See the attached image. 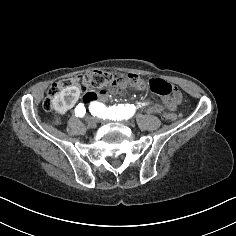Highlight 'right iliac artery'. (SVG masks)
Returning a JSON list of instances; mask_svg holds the SVG:
<instances>
[{
	"mask_svg": "<svg viewBox=\"0 0 236 236\" xmlns=\"http://www.w3.org/2000/svg\"><path fill=\"white\" fill-rule=\"evenodd\" d=\"M86 113V109L84 107V104L79 103L75 108V116L76 117H83Z\"/></svg>",
	"mask_w": 236,
	"mask_h": 236,
	"instance_id": "82829eb1",
	"label": "right iliac artery"
}]
</instances>
